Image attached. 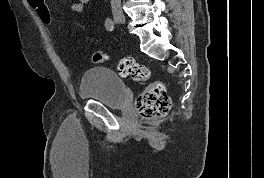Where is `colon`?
I'll return each instance as SVG.
<instances>
[{
    "instance_id": "5ec220e1",
    "label": "colon",
    "mask_w": 264,
    "mask_h": 178,
    "mask_svg": "<svg viewBox=\"0 0 264 178\" xmlns=\"http://www.w3.org/2000/svg\"><path fill=\"white\" fill-rule=\"evenodd\" d=\"M27 2L44 24L50 25L53 23V17L45 0H27ZM108 60L109 56L100 51L91 55V61L95 64ZM116 67L122 77L135 82H148V85L135 102V107L143 118L155 119L167 114L171 101L166 88L161 81L151 79V72L146 65L136 62L133 58L124 57L117 62Z\"/></svg>"
}]
</instances>
